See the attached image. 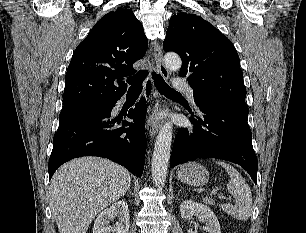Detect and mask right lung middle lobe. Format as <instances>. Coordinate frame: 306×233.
<instances>
[{
  "instance_id": "right-lung-middle-lobe-1",
  "label": "right lung middle lobe",
  "mask_w": 306,
  "mask_h": 233,
  "mask_svg": "<svg viewBox=\"0 0 306 233\" xmlns=\"http://www.w3.org/2000/svg\"><path fill=\"white\" fill-rule=\"evenodd\" d=\"M110 103H97V102H82L72 105L64 106L60 115L59 120L80 114L93 109L104 108L110 106Z\"/></svg>"
}]
</instances>
